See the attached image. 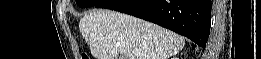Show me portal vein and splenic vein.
<instances>
[{"instance_id":"portal-vein-and-splenic-vein-1","label":"portal vein and splenic vein","mask_w":261,"mask_h":59,"mask_svg":"<svg viewBox=\"0 0 261 59\" xmlns=\"http://www.w3.org/2000/svg\"><path fill=\"white\" fill-rule=\"evenodd\" d=\"M133 54H138V50H133Z\"/></svg>"}]
</instances>
